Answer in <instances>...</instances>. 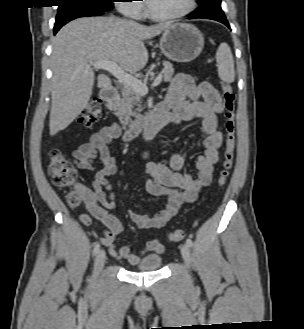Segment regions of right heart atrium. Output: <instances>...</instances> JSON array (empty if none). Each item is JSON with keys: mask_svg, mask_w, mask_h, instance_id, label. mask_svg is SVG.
Here are the masks:
<instances>
[{"mask_svg": "<svg viewBox=\"0 0 304 329\" xmlns=\"http://www.w3.org/2000/svg\"><path fill=\"white\" fill-rule=\"evenodd\" d=\"M118 10L133 18H141L144 11L143 0H119ZM138 2V3H134Z\"/></svg>", "mask_w": 304, "mask_h": 329, "instance_id": "right-heart-atrium-1", "label": "right heart atrium"}]
</instances>
